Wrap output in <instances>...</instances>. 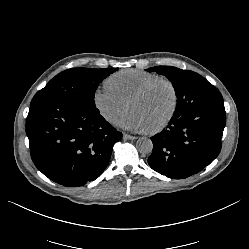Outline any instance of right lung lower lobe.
Listing matches in <instances>:
<instances>
[{
    "instance_id": "98d812e1",
    "label": "right lung lower lobe",
    "mask_w": 249,
    "mask_h": 249,
    "mask_svg": "<svg viewBox=\"0 0 249 249\" xmlns=\"http://www.w3.org/2000/svg\"><path fill=\"white\" fill-rule=\"evenodd\" d=\"M26 133L35 166L51 180L77 187L97 179L107 167L118 132L99 113L74 101L30 106Z\"/></svg>"
}]
</instances>
